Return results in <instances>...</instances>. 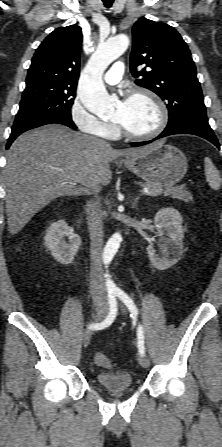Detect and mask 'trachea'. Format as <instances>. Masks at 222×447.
I'll list each match as a JSON object with an SVG mask.
<instances>
[{"mask_svg": "<svg viewBox=\"0 0 222 447\" xmlns=\"http://www.w3.org/2000/svg\"><path fill=\"white\" fill-rule=\"evenodd\" d=\"M102 1L107 8H110L114 2V0H102Z\"/></svg>", "mask_w": 222, "mask_h": 447, "instance_id": "1", "label": "trachea"}]
</instances>
